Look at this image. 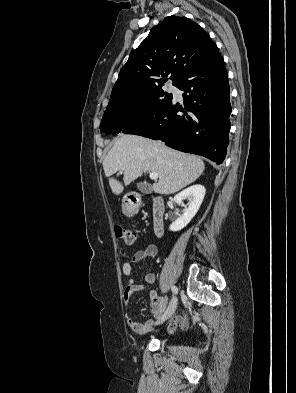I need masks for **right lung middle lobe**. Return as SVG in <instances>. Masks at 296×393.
Segmentation results:
<instances>
[{
    "mask_svg": "<svg viewBox=\"0 0 296 393\" xmlns=\"http://www.w3.org/2000/svg\"><path fill=\"white\" fill-rule=\"evenodd\" d=\"M162 86L150 88L128 99L110 101L100 124L101 132L117 134L162 109L172 99V94L164 92Z\"/></svg>",
    "mask_w": 296,
    "mask_h": 393,
    "instance_id": "right-lung-middle-lobe-1",
    "label": "right lung middle lobe"
}]
</instances>
